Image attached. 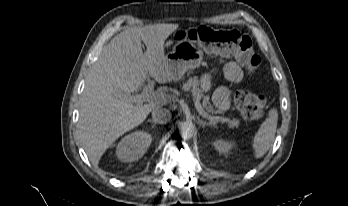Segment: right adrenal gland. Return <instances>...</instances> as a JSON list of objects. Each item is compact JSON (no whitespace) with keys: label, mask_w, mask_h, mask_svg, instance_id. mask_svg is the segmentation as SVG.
Segmentation results:
<instances>
[{"label":"right adrenal gland","mask_w":348,"mask_h":206,"mask_svg":"<svg viewBox=\"0 0 348 206\" xmlns=\"http://www.w3.org/2000/svg\"><path fill=\"white\" fill-rule=\"evenodd\" d=\"M148 122H151L152 124H153V127L157 124L154 120H152V119H148L147 120Z\"/></svg>","instance_id":"right-adrenal-gland-1"}]
</instances>
